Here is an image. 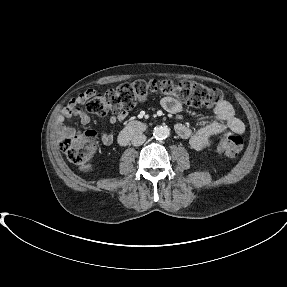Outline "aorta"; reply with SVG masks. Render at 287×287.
Instances as JSON below:
<instances>
[{
	"label": "aorta",
	"instance_id": "1",
	"mask_svg": "<svg viewBox=\"0 0 287 287\" xmlns=\"http://www.w3.org/2000/svg\"><path fill=\"white\" fill-rule=\"evenodd\" d=\"M169 128L167 126H156L153 129V136L157 140H163L169 136Z\"/></svg>",
	"mask_w": 287,
	"mask_h": 287
}]
</instances>
